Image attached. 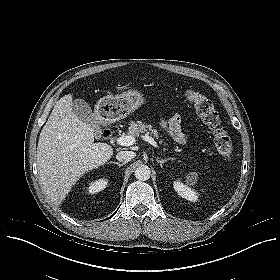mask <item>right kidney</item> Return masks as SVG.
<instances>
[{
	"label": "right kidney",
	"mask_w": 280,
	"mask_h": 280,
	"mask_svg": "<svg viewBox=\"0 0 280 280\" xmlns=\"http://www.w3.org/2000/svg\"><path fill=\"white\" fill-rule=\"evenodd\" d=\"M107 184L108 180L105 178H101L89 183V185L86 188V191L88 193L95 194L105 189Z\"/></svg>",
	"instance_id": "right-kidney-1"
}]
</instances>
